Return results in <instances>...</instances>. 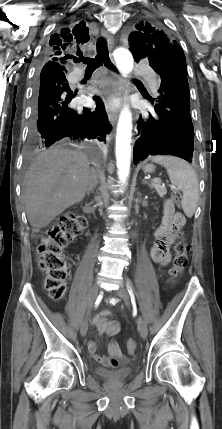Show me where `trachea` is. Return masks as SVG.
<instances>
[{
  "label": "trachea",
  "instance_id": "trachea-1",
  "mask_svg": "<svg viewBox=\"0 0 222 429\" xmlns=\"http://www.w3.org/2000/svg\"><path fill=\"white\" fill-rule=\"evenodd\" d=\"M74 60L75 62H83L84 64H86L87 73L94 72L103 63L108 68L117 71L109 58L107 43L103 38H100L97 41V55L95 56V58H85L83 56H79V58H75Z\"/></svg>",
  "mask_w": 222,
  "mask_h": 429
}]
</instances>
